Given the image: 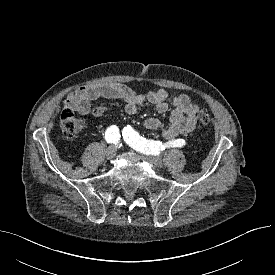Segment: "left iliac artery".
I'll use <instances>...</instances> for the list:
<instances>
[{
    "label": "left iliac artery",
    "instance_id": "obj_1",
    "mask_svg": "<svg viewBox=\"0 0 275 275\" xmlns=\"http://www.w3.org/2000/svg\"><path fill=\"white\" fill-rule=\"evenodd\" d=\"M122 136L124 140L134 149L147 155H156L160 151L164 150L166 147H183L186 144L184 139H176L166 143L154 140H147L141 137L130 125L124 127L122 131Z\"/></svg>",
    "mask_w": 275,
    "mask_h": 275
}]
</instances>
